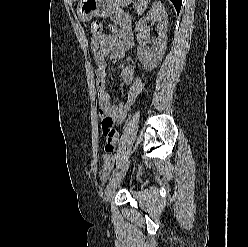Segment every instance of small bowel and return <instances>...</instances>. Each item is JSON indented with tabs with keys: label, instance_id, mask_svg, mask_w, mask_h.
<instances>
[{
	"label": "small bowel",
	"instance_id": "small-bowel-1",
	"mask_svg": "<svg viewBox=\"0 0 248 247\" xmlns=\"http://www.w3.org/2000/svg\"><path fill=\"white\" fill-rule=\"evenodd\" d=\"M133 43L134 38L130 32L116 27H112L109 34H102L101 36L92 35L90 39V49L97 67L95 74L97 78L99 114L102 119L101 127L105 138L103 169L106 173L111 170L114 164L113 153L119 141V133L114 128V125L123 106V103L113 104L111 95L107 89L106 59L109 58L112 63H116L124 57L126 48L131 47ZM121 78L126 86L131 87L135 78L133 64L129 63L123 66Z\"/></svg>",
	"mask_w": 248,
	"mask_h": 247
}]
</instances>
